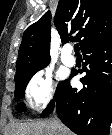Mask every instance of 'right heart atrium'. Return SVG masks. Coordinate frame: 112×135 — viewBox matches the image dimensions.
<instances>
[{"label": "right heart atrium", "instance_id": "1", "mask_svg": "<svg viewBox=\"0 0 112 135\" xmlns=\"http://www.w3.org/2000/svg\"><path fill=\"white\" fill-rule=\"evenodd\" d=\"M28 106L34 110L46 107L53 99L55 87L52 77L46 72H36L25 87Z\"/></svg>", "mask_w": 112, "mask_h": 135}]
</instances>
